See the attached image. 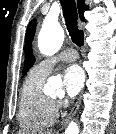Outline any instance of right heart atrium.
<instances>
[{
  "label": "right heart atrium",
  "mask_w": 116,
  "mask_h": 134,
  "mask_svg": "<svg viewBox=\"0 0 116 134\" xmlns=\"http://www.w3.org/2000/svg\"><path fill=\"white\" fill-rule=\"evenodd\" d=\"M55 103V107L57 108V109H59V108H61L62 107V102H60V101H56V102H54Z\"/></svg>",
  "instance_id": "obj_1"
}]
</instances>
